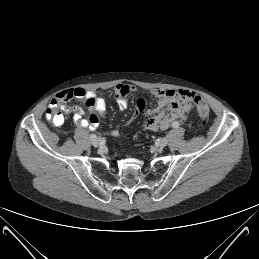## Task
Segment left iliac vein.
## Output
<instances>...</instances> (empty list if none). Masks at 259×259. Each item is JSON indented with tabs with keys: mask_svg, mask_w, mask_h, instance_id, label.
Listing matches in <instances>:
<instances>
[{
	"mask_svg": "<svg viewBox=\"0 0 259 259\" xmlns=\"http://www.w3.org/2000/svg\"><path fill=\"white\" fill-rule=\"evenodd\" d=\"M168 144V139L167 138H163L160 142V146L163 148L165 146H167Z\"/></svg>",
	"mask_w": 259,
	"mask_h": 259,
	"instance_id": "left-iliac-vein-1",
	"label": "left iliac vein"
}]
</instances>
